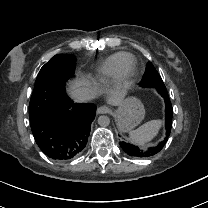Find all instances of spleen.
<instances>
[{
	"label": "spleen",
	"instance_id": "obj_1",
	"mask_svg": "<svg viewBox=\"0 0 208 208\" xmlns=\"http://www.w3.org/2000/svg\"><path fill=\"white\" fill-rule=\"evenodd\" d=\"M160 122L152 120L141 125L139 128L130 132L131 141L137 145H143L150 140L158 131Z\"/></svg>",
	"mask_w": 208,
	"mask_h": 208
}]
</instances>
